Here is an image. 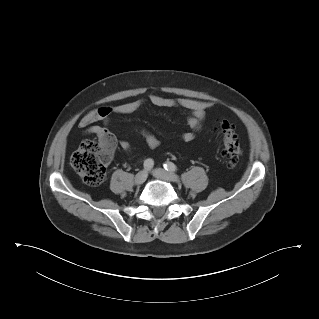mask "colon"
Instances as JSON below:
<instances>
[{
	"label": "colon",
	"mask_w": 319,
	"mask_h": 319,
	"mask_svg": "<svg viewBox=\"0 0 319 319\" xmlns=\"http://www.w3.org/2000/svg\"><path fill=\"white\" fill-rule=\"evenodd\" d=\"M222 136L221 155L226 160L229 168L238 164L242 148L234 127L227 121L219 124ZM115 142L111 135L98 141L86 140L75 151L70 160V165L82 180L91 186L102 183L106 166L114 152Z\"/></svg>",
	"instance_id": "colon-1"
}]
</instances>
